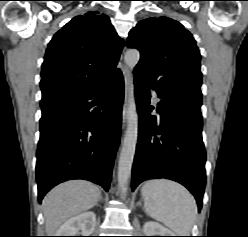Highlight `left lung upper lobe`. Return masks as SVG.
<instances>
[{
  "instance_id": "obj_1",
  "label": "left lung upper lobe",
  "mask_w": 248,
  "mask_h": 237,
  "mask_svg": "<svg viewBox=\"0 0 248 237\" xmlns=\"http://www.w3.org/2000/svg\"><path fill=\"white\" fill-rule=\"evenodd\" d=\"M126 45L141 54L135 79L154 87L160 97L202 99L201 55L182 24L157 16L141 20L130 31Z\"/></svg>"
}]
</instances>
